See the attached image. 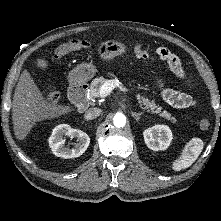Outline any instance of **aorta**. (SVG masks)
<instances>
[{
	"instance_id": "aorta-1",
	"label": "aorta",
	"mask_w": 221,
	"mask_h": 221,
	"mask_svg": "<svg viewBox=\"0 0 221 221\" xmlns=\"http://www.w3.org/2000/svg\"><path fill=\"white\" fill-rule=\"evenodd\" d=\"M113 123H114V126L117 128L124 127L126 124V117L123 114L118 113L114 116Z\"/></svg>"
}]
</instances>
